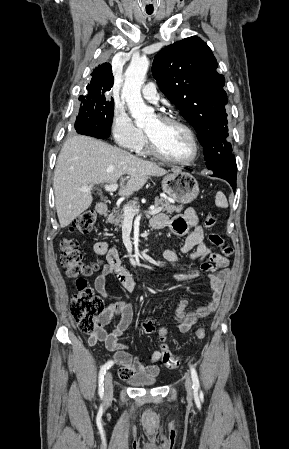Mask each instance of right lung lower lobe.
Segmentation results:
<instances>
[{"label": "right lung lower lobe", "mask_w": 289, "mask_h": 449, "mask_svg": "<svg viewBox=\"0 0 289 449\" xmlns=\"http://www.w3.org/2000/svg\"><path fill=\"white\" fill-rule=\"evenodd\" d=\"M88 136H92V135H88ZM92 137H96V138H105V137H101V136H92Z\"/></svg>", "instance_id": "right-lung-lower-lobe-1"}]
</instances>
